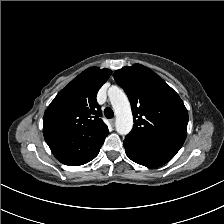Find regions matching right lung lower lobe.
<instances>
[{
	"instance_id": "obj_1",
	"label": "right lung lower lobe",
	"mask_w": 224,
	"mask_h": 224,
	"mask_svg": "<svg viewBox=\"0 0 224 224\" xmlns=\"http://www.w3.org/2000/svg\"><path fill=\"white\" fill-rule=\"evenodd\" d=\"M43 134L54 156L69 166L83 165L94 159L108 135L85 137L54 128L43 129Z\"/></svg>"
}]
</instances>
